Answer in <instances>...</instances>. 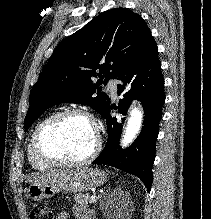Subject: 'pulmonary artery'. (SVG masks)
<instances>
[{"mask_svg": "<svg viewBox=\"0 0 211 219\" xmlns=\"http://www.w3.org/2000/svg\"><path fill=\"white\" fill-rule=\"evenodd\" d=\"M107 89L111 92V95L116 98L117 96V82L115 80H109L107 83Z\"/></svg>", "mask_w": 211, "mask_h": 219, "instance_id": "obj_1", "label": "pulmonary artery"}]
</instances>
